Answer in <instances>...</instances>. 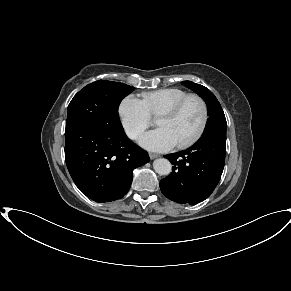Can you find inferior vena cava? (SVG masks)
<instances>
[{"instance_id":"inferior-vena-cava-1","label":"inferior vena cava","mask_w":291,"mask_h":291,"mask_svg":"<svg viewBox=\"0 0 291 291\" xmlns=\"http://www.w3.org/2000/svg\"><path fill=\"white\" fill-rule=\"evenodd\" d=\"M137 136V132H133V137H136Z\"/></svg>"}]
</instances>
